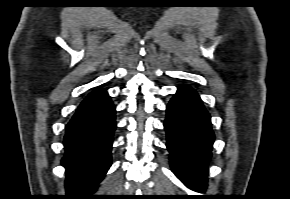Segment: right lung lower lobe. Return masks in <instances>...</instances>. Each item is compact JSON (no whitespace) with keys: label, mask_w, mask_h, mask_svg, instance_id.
Here are the masks:
<instances>
[{"label":"right lung lower lobe","mask_w":290,"mask_h":199,"mask_svg":"<svg viewBox=\"0 0 290 199\" xmlns=\"http://www.w3.org/2000/svg\"><path fill=\"white\" fill-rule=\"evenodd\" d=\"M115 107L105 90L91 92L66 126L64 137L66 199H93L91 195L111 166L116 128Z\"/></svg>","instance_id":"right-lung-lower-lobe-1"}]
</instances>
